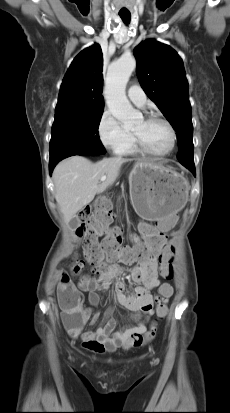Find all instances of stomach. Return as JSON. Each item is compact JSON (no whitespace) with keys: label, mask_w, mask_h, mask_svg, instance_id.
<instances>
[{"label":"stomach","mask_w":230,"mask_h":413,"mask_svg":"<svg viewBox=\"0 0 230 413\" xmlns=\"http://www.w3.org/2000/svg\"><path fill=\"white\" fill-rule=\"evenodd\" d=\"M130 198L141 218H170L186 204L188 181L179 173L153 160L137 162L129 176Z\"/></svg>","instance_id":"1"}]
</instances>
